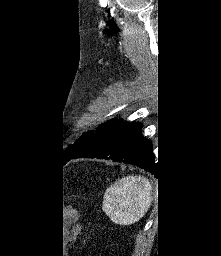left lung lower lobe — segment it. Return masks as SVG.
<instances>
[{
	"instance_id": "0a47b994",
	"label": "left lung lower lobe",
	"mask_w": 221,
	"mask_h": 256,
	"mask_svg": "<svg viewBox=\"0 0 221 256\" xmlns=\"http://www.w3.org/2000/svg\"><path fill=\"white\" fill-rule=\"evenodd\" d=\"M141 124L123 123L113 119L99 126L69 158L112 159L127 164L138 165L155 173L152 143L140 133Z\"/></svg>"
}]
</instances>
